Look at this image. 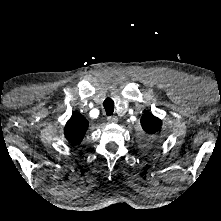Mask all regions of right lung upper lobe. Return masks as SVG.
Returning a JSON list of instances; mask_svg holds the SVG:
<instances>
[{"instance_id":"1","label":"right lung upper lobe","mask_w":221,"mask_h":221,"mask_svg":"<svg viewBox=\"0 0 221 221\" xmlns=\"http://www.w3.org/2000/svg\"><path fill=\"white\" fill-rule=\"evenodd\" d=\"M88 128L87 119L80 113L75 112L66 123L64 134L66 139L74 146L79 145Z\"/></svg>"}]
</instances>
